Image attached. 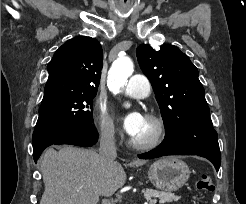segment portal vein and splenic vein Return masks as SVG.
I'll return each instance as SVG.
<instances>
[{
    "label": "portal vein and splenic vein",
    "instance_id": "1",
    "mask_svg": "<svg viewBox=\"0 0 246 204\" xmlns=\"http://www.w3.org/2000/svg\"><path fill=\"white\" fill-rule=\"evenodd\" d=\"M149 200V204H156L157 200L156 199H148Z\"/></svg>",
    "mask_w": 246,
    "mask_h": 204
}]
</instances>
